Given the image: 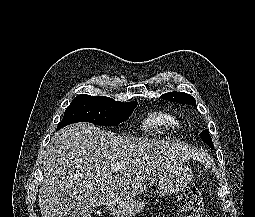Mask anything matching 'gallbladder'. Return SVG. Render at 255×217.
Listing matches in <instances>:
<instances>
[{
    "label": "gallbladder",
    "instance_id": "gallbladder-1",
    "mask_svg": "<svg viewBox=\"0 0 255 217\" xmlns=\"http://www.w3.org/2000/svg\"><path fill=\"white\" fill-rule=\"evenodd\" d=\"M91 215V206L79 203L69 212L68 217H91Z\"/></svg>",
    "mask_w": 255,
    "mask_h": 217
}]
</instances>
